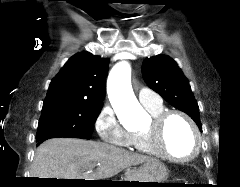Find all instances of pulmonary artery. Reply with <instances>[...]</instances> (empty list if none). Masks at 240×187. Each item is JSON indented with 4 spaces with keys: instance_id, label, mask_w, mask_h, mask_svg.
Wrapping results in <instances>:
<instances>
[{
    "instance_id": "1",
    "label": "pulmonary artery",
    "mask_w": 240,
    "mask_h": 187,
    "mask_svg": "<svg viewBox=\"0 0 240 187\" xmlns=\"http://www.w3.org/2000/svg\"><path fill=\"white\" fill-rule=\"evenodd\" d=\"M138 99L145 107H158L162 105L161 97L148 88H141L138 91Z\"/></svg>"
}]
</instances>
